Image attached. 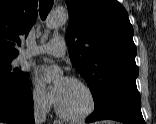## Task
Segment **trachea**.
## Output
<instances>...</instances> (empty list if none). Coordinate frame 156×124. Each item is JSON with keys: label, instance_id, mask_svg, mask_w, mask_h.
Instances as JSON below:
<instances>
[{"label": "trachea", "instance_id": "obj_1", "mask_svg": "<svg viewBox=\"0 0 156 124\" xmlns=\"http://www.w3.org/2000/svg\"><path fill=\"white\" fill-rule=\"evenodd\" d=\"M54 0H40L39 2V12L42 20H45L48 13L52 9Z\"/></svg>", "mask_w": 156, "mask_h": 124}]
</instances>
